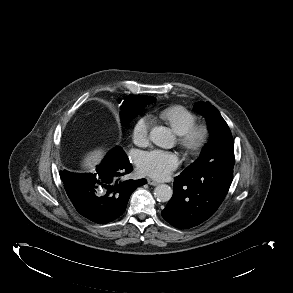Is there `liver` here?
Here are the masks:
<instances>
[{"mask_svg":"<svg viewBox=\"0 0 293 293\" xmlns=\"http://www.w3.org/2000/svg\"><path fill=\"white\" fill-rule=\"evenodd\" d=\"M104 154L105 151L101 148L89 152L83 159L82 167L86 169H93L97 164L100 163Z\"/></svg>","mask_w":293,"mask_h":293,"instance_id":"obj_1","label":"liver"}]
</instances>
